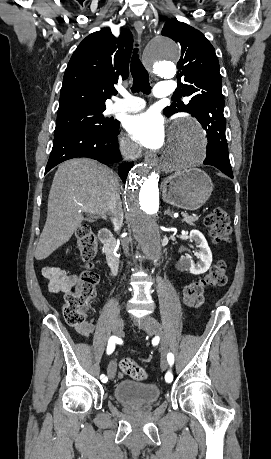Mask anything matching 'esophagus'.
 I'll list each match as a JSON object with an SVG mask.
<instances>
[{
  "instance_id": "1",
  "label": "esophagus",
  "mask_w": 271,
  "mask_h": 459,
  "mask_svg": "<svg viewBox=\"0 0 271 459\" xmlns=\"http://www.w3.org/2000/svg\"><path fill=\"white\" fill-rule=\"evenodd\" d=\"M134 27L138 33V38L145 40L147 38L146 31L143 29V23L142 22H134ZM136 55L138 56L139 60L143 59V56L145 55V52L142 49H139L136 52ZM144 65L147 68L149 72H152V67L149 66L145 61ZM146 162L153 168H156L158 165V158L155 153H150L149 155H146L145 157Z\"/></svg>"
}]
</instances>
